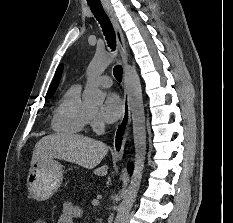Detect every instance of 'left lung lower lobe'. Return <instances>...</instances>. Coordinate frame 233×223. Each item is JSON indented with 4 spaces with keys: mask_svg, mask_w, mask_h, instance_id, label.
<instances>
[{
    "mask_svg": "<svg viewBox=\"0 0 233 223\" xmlns=\"http://www.w3.org/2000/svg\"><path fill=\"white\" fill-rule=\"evenodd\" d=\"M128 171H129V173L132 172V165L130 163H128Z\"/></svg>",
    "mask_w": 233,
    "mask_h": 223,
    "instance_id": "0a47b994",
    "label": "left lung lower lobe"
}]
</instances>
